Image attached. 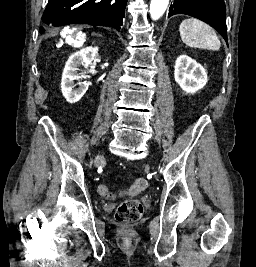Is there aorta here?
<instances>
[{"mask_svg": "<svg viewBox=\"0 0 256 267\" xmlns=\"http://www.w3.org/2000/svg\"><path fill=\"white\" fill-rule=\"evenodd\" d=\"M168 4L169 0H151L149 12L152 20L162 18L168 8Z\"/></svg>", "mask_w": 256, "mask_h": 267, "instance_id": "762f6f07", "label": "aorta"}]
</instances>
